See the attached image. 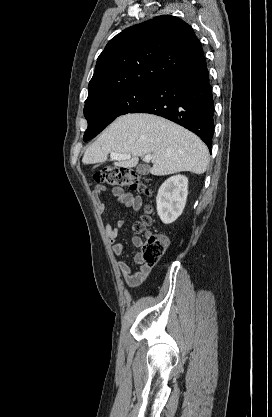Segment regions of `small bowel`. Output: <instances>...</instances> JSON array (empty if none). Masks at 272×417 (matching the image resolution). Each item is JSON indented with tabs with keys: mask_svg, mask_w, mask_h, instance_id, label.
Returning a JSON list of instances; mask_svg holds the SVG:
<instances>
[{
	"mask_svg": "<svg viewBox=\"0 0 272 417\" xmlns=\"http://www.w3.org/2000/svg\"><path fill=\"white\" fill-rule=\"evenodd\" d=\"M104 191H106V186L102 184L95 186L92 191L96 209L99 214H102L105 210V205L102 200V194ZM111 193L120 203H122L125 207L131 208L134 212H138L142 207L141 196L133 195L121 187H114L111 190ZM122 226V220H118L114 224L107 223L105 226L106 235L111 243L112 252L115 255H122L124 252V245L117 241V237ZM132 243L135 247L142 246V240L137 236L132 238ZM134 262L140 265L136 271H133L127 262L119 261L117 263V267L121 273L123 281L130 288L139 287L147 279L151 271L150 266L143 264L140 253L135 255Z\"/></svg>",
	"mask_w": 272,
	"mask_h": 417,
	"instance_id": "small-bowel-1",
	"label": "small bowel"
}]
</instances>
